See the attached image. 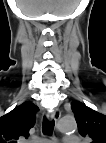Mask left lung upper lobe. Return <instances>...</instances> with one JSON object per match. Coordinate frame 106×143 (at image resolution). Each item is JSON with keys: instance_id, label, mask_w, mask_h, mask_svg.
<instances>
[{"instance_id": "5c2ea615", "label": "left lung upper lobe", "mask_w": 106, "mask_h": 143, "mask_svg": "<svg viewBox=\"0 0 106 143\" xmlns=\"http://www.w3.org/2000/svg\"><path fill=\"white\" fill-rule=\"evenodd\" d=\"M71 108L79 133L83 137L91 138L92 143H106V116L79 101H73Z\"/></svg>"}]
</instances>
